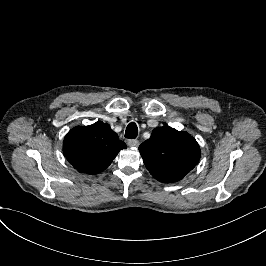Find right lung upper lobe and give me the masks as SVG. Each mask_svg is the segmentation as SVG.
Returning <instances> with one entry per match:
<instances>
[{"label":"right lung upper lobe","mask_w":266,"mask_h":266,"mask_svg":"<svg viewBox=\"0 0 266 266\" xmlns=\"http://www.w3.org/2000/svg\"><path fill=\"white\" fill-rule=\"evenodd\" d=\"M126 147L109 124L96 122L70 130L64 139L63 152L79 172L94 175L105 170Z\"/></svg>","instance_id":"obj_1"}]
</instances>
